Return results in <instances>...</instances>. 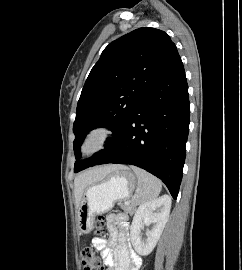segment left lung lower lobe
<instances>
[{
    "label": "left lung lower lobe",
    "mask_w": 242,
    "mask_h": 270,
    "mask_svg": "<svg viewBox=\"0 0 242 270\" xmlns=\"http://www.w3.org/2000/svg\"><path fill=\"white\" fill-rule=\"evenodd\" d=\"M188 85L180 56L155 80L144 101L89 167L131 164L160 178L177 198L189 131Z\"/></svg>",
    "instance_id": "left-lung-lower-lobe-1"
}]
</instances>
